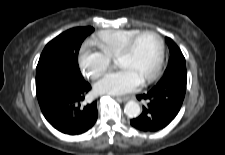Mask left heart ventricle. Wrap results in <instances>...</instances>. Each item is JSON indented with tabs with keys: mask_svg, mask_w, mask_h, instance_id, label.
Returning a JSON list of instances; mask_svg holds the SVG:
<instances>
[{
	"mask_svg": "<svg viewBox=\"0 0 225 155\" xmlns=\"http://www.w3.org/2000/svg\"><path fill=\"white\" fill-rule=\"evenodd\" d=\"M159 56V42L152 35L141 37L132 52L117 60L120 68H127L134 72L142 81L152 73Z\"/></svg>",
	"mask_w": 225,
	"mask_h": 155,
	"instance_id": "1",
	"label": "left heart ventricle"
}]
</instances>
